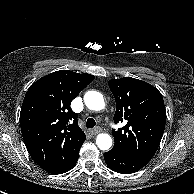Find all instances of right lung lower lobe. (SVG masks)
Returning a JSON list of instances; mask_svg holds the SVG:
<instances>
[{"instance_id":"98d812e1","label":"right lung lower lobe","mask_w":194,"mask_h":194,"mask_svg":"<svg viewBox=\"0 0 194 194\" xmlns=\"http://www.w3.org/2000/svg\"><path fill=\"white\" fill-rule=\"evenodd\" d=\"M77 159H78V157H77L75 160H73L72 163H71L70 165H68V166H67L63 171H61L60 173H65V172L71 170V169L75 166V164H76V162H77ZM60 173H59V174H60Z\"/></svg>"}]
</instances>
